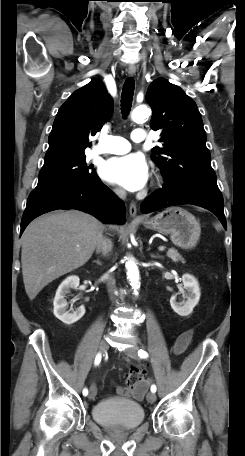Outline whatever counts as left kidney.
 <instances>
[{
    "instance_id": "obj_1",
    "label": "left kidney",
    "mask_w": 245,
    "mask_h": 456,
    "mask_svg": "<svg viewBox=\"0 0 245 456\" xmlns=\"http://www.w3.org/2000/svg\"><path fill=\"white\" fill-rule=\"evenodd\" d=\"M182 281L184 285L183 292L186 293V300L177 302L176 296H172L170 299V305L174 312L178 315L188 316L198 304L201 293L198 281L192 275L184 274L182 276Z\"/></svg>"
}]
</instances>
